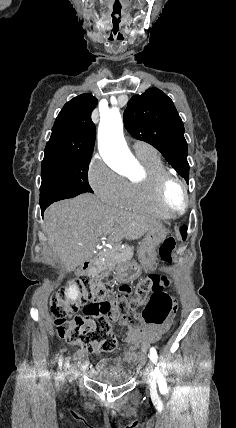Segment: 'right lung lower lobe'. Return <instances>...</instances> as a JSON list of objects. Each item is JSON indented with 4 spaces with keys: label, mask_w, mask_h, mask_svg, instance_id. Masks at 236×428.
<instances>
[{
    "label": "right lung lower lobe",
    "mask_w": 236,
    "mask_h": 428,
    "mask_svg": "<svg viewBox=\"0 0 236 428\" xmlns=\"http://www.w3.org/2000/svg\"><path fill=\"white\" fill-rule=\"evenodd\" d=\"M51 203H47V204H44V205H40L41 206V214L43 215V213H44V211H45V209L50 205Z\"/></svg>",
    "instance_id": "1"
}]
</instances>
